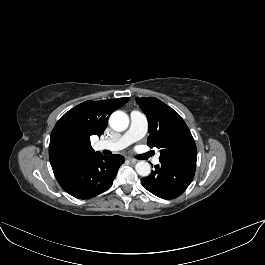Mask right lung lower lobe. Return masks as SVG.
Listing matches in <instances>:
<instances>
[{
	"label": "right lung lower lobe",
	"instance_id": "98d812e1",
	"mask_svg": "<svg viewBox=\"0 0 265 265\" xmlns=\"http://www.w3.org/2000/svg\"><path fill=\"white\" fill-rule=\"evenodd\" d=\"M124 161L122 155L104 156L98 152L54 175L67 193L78 199H90L112 185Z\"/></svg>",
	"mask_w": 265,
	"mask_h": 265
}]
</instances>
